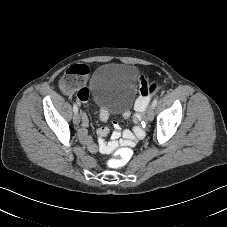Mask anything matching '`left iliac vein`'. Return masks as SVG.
<instances>
[{
    "instance_id": "left-iliac-vein-1",
    "label": "left iliac vein",
    "mask_w": 227,
    "mask_h": 227,
    "mask_svg": "<svg viewBox=\"0 0 227 227\" xmlns=\"http://www.w3.org/2000/svg\"><path fill=\"white\" fill-rule=\"evenodd\" d=\"M154 108H155L154 105L151 104V106L147 110V116H146V118H147V120L149 122H151L153 120V118H154Z\"/></svg>"
}]
</instances>
